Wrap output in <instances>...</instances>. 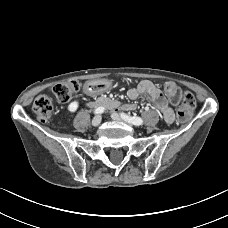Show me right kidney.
<instances>
[{
	"label": "right kidney",
	"mask_w": 228,
	"mask_h": 228,
	"mask_svg": "<svg viewBox=\"0 0 228 228\" xmlns=\"http://www.w3.org/2000/svg\"><path fill=\"white\" fill-rule=\"evenodd\" d=\"M79 107V102L77 100L71 102L69 105H68V111L69 112H75Z\"/></svg>",
	"instance_id": "1"
}]
</instances>
